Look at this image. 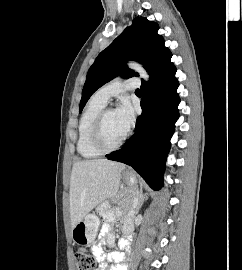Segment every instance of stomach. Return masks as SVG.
<instances>
[{
    "label": "stomach",
    "mask_w": 242,
    "mask_h": 270,
    "mask_svg": "<svg viewBox=\"0 0 242 270\" xmlns=\"http://www.w3.org/2000/svg\"><path fill=\"white\" fill-rule=\"evenodd\" d=\"M123 180L129 186L131 191L136 192L137 178L131 172L123 174ZM100 224L99 218L94 214L86 215L78 222L71 231V238L78 245H88L94 241Z\"/></svg>",
    "instance_id": "stomach-1"
}]
</instances>
